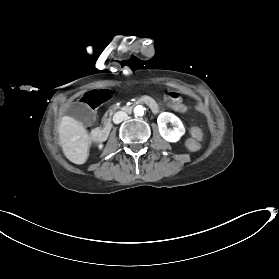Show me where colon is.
I'll return each mask as SVG.
<instances>
[{"label": "colon", "mask_w": 279, "mask_h": 279, "mask_svg": "<svg viewBox=\"0 0 279 279\" xmlns=\"http://www.w3.org/2000/svg\"><path fill=\"white\" fill-rule=\"evenodd\" d=\"M190 133H191V135H192V137H193L194 139H200V138L202 137V132H201V130H200L199 128H197V127L191 128Z\"/></svg>", "instance_id": "obj_1"}]
</instances>
